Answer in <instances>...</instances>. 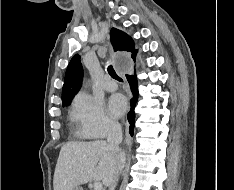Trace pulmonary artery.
Returning a JSON list of instances; mask_svg holds the SVG:
<instances>
[{"label":"pulmonary artery","instance_id":"pulmonary-artery-1","mask_svg":"<svg viewBox=\"0 0 234 190\" xmlns=\"http://www.w3.org/2000/svg\"><path fill=\"white\" fill-rule=\"evenodd\" d=\"M118 85L115 81H113L111 79V77L109 75H107L105 77V83H104V88L107 90V91H115L117 89Z\"/></svg>","mask_w":234,"mask_h":190}]
</instances>
